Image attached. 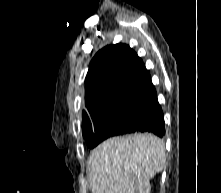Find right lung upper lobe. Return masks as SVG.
Returning a JSON list of instances; mask_svg holds the SVG:
<instances>
[{"instance_id":"1","label":"right lung upper lobe","mask_w":221,"mask_h":193,"mask_svg":"<svg viewBox=\"0 0 221 193\" xmlns=\"http://www.w3.org/2000/svg\"><path fill=\"white\" fill-rule=\"evenodd\" d=\"M85 93L90 115L121 100L152 101L156 96L149 71L125 44L106 46L97 52L85 79ZM87 117L83 112V118Z\"/></svg>"}]
</instances>
